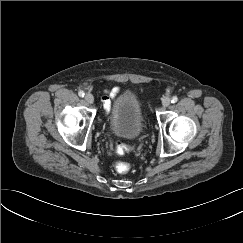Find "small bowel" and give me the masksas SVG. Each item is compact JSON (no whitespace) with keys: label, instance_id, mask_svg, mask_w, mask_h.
<instances>
[{"label":"small bowel","instance_id":"1","mask_svg":"<svg viewBox=\"0 0 243 243\" xmlns=\"http://www.w3.org/2000/svg\"><path fill=\"white\" fill-rule=\"evenodd\" d=\"M119 92V87H114L109 91H106L105 95L102 97V101L104 104L105 110L109 111L111 107V103L113 99L116 97V95Z\"/></svg>","mask_w":243,"mask_h":243}]
</instances>
